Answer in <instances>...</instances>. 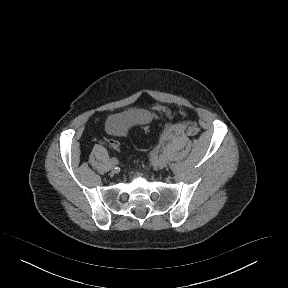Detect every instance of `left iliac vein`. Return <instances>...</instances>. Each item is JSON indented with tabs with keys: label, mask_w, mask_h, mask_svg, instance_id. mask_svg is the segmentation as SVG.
Wrapping results in <instances>:
<instances>
[{
	"label": "left iliac vein",
	"mask_w": 288,
	"mask_h": 288,
	"mask_svg": "<svg viewBox=\"0 0 288 288\" xmlns=\"http://www.w3.org/2000/svg\"><path fill=\"white\" fill-rule=\"evenodd\" d=\"M167 161L164 157H157L153 160L154 166L158 167L159 169H162L165 167Z\"/></svg>",
	"instance_id": "1"
}]
</instances>
